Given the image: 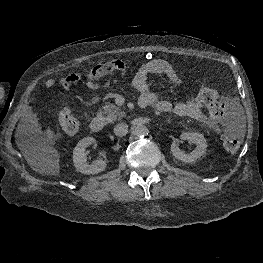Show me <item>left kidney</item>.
Listing matches in <instances>:
<instances>
[{"instance_id":"5707ae66","label":"left kidney","mask_w":263,"mask_h":263,"mask_svg":"<svg viewBox=\"0 0 263 263\" xmlns=\"http://www.w3.org/2000/svg\"><path fill=\"white\" fill-rule=\"evenodd\" d=\"M180 139L195 144L196 148L191 153H185L179 148V140H174L171 144V152L176 159L185 163H195L198 158L205 154L207 141L202 134L197 132H184L180 135Z\"/></svg>"}]
</instances>
